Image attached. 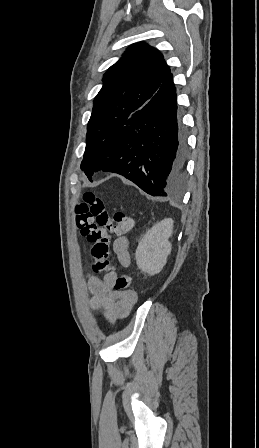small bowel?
<instances>
[{
	"mask_svg": "<svg viewBox=\"0 0 259 448\" xmlns=\"http://www.w3.org/2000/svg\"><path fill=\"white\" fill-rule=\"evenodd\" d=\"M113 251L117 262L122 267L131 263L129 240L118 237L113 242ZM117 275L113 270L104 273L103 278L90 274L87 278L88 286L93 294L90 306L93 310L102 309L106 320L114 325L118 320L128 316L134 303L136 294L133 291H118L114 288Z\"/></svg>",
	"mask_w": 259,
	"mask_h": 448,
	"instance_id": "c3829d8e",
	"label": "small bowel"
}]
</instances>
